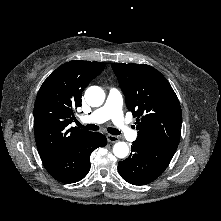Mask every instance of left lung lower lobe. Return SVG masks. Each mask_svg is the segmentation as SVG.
I'll return each instance as SVG.
<instances>
[{
    "label": "left lung lower lobe",
    "instance_id": "0a47b994",
    "mask_svg": "<svg viewBox=\"0 0 221 221\" xmlns=\"http://www.w3.org/2000/svg\"><path fill=\"white\" fill-rule=\"evenodd\" d=\"M174 151L137 138L128 158L118 163L121 177L133 185H146L158 178L169 165Z\"/></svg>",
    "mask_w": 221,
    "mask_h": 221
}]
</instances>
